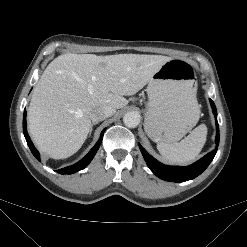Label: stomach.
Returning a JSON list of instances; mask_svg holds the SVG:
<instances>
[{"label": "stomach", "mask_w": 247, "mask_h": 247, "mask_svg": "<svg viewBox=\"0 0 247 247\" xmlns=\"http://www.w3.org/2000/svg\"><path fill=\"white\" fill-rule=\"evenodd\" d=\"M194 83L193 68L182 59H171L152 76L144 124L150 139L175 143L196 125L200 111L193 103Z\"/></svg>", "instance_id": "0dacf381"}]
</instances>
